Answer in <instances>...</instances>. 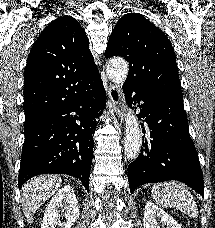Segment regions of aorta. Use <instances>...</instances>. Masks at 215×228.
<instances>
[{
  "instance_id": "762f6f07",
  "label": "aorta",
  "mask_w": 215,
  "mask_h": 228,
  "mask_svg": "<svg viewBox=\"0 0 215 228\" xmlns=\"http://www.w3.org/2000/svg\"><path fill=\"white\" fill-rule=\"evenodd\" d=\"M128 64L123 58H114L110 60L107 66V74L119 88H122L126 82L128 76ZM125 108V154L129 160H135L137 158L140 148L142 146V132L137 116H135L133 110H130L128 106Z\"/></svg>"
}]
</instances>
